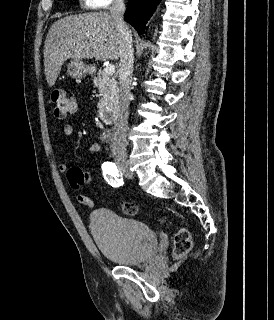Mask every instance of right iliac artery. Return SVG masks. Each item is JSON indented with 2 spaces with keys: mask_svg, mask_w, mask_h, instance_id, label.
<instances>
[{
  "mask_svg": "<svg viewBox=\"0 0 274 320\" xmlns=\"http://www.w3.org/2000/svg\"><path fill=\"white\" fill-rule=\"evenodd\" d=\"M102 169L105 174H108L106 180L113 187H119L123 185L122 173L117 166L112 162H104Z\"/></svg>",
  "mask_w": 274,
  "mask_h": 320,
  "instance_id": "1",
  "label": "right iliac artery"
}]
</instances>
